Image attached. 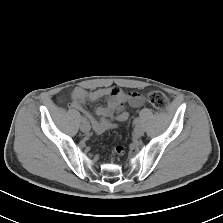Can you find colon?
<instances>
[{
    "instance_id": "obj_1",
    "label": "colon",
    "mask_w": 223,
    "mask_h": 223,
    "mask_svg": "<svg viewBox=\"0 0 223 223\" xmlns=\"http://www.w3.org/2000/svg\"><path fill=\"white\" fill-rule=\"evenodd\" d=\"M148 101L151 104V106L158 111H164L168 107L167 97L163 93L158 91L150 92L148 94ZM113 151L118 155H123L125 149L122 146H116L114 147Z\"/></svg>"
}]
</instances>
